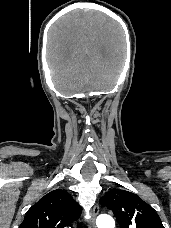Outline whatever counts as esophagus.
Listing matches in <instances>:
<instances>
[{"instance_id": "1", "label": "esophagus", "mask_w": 171, "mask_h": 228, "mask_svg": "<svg viewBox=\"0 0 171 228\" xmlns=\"http://www.w3.org/2000/svg\"><path fill=\"white\" fill-rule=\"evenodd\" d=\"M99 212V206L95 205L92 209L91 218L89 220V228H96L95 218Z\"/></svg>"}]
</instances>
